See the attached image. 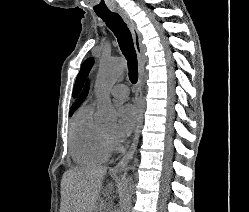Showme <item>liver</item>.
Masks as SVG:
<instances>
[{
    "instance_id": "1",
    "label": "liver",
    "mask_w": 249,
    "mask_h": 212,
    "mask_svg": "<svg viewBox=\"0 0 249 212\" xmlns=\"http://www.w3.org/2000/svg\"><path fill=\"white\" fill-rule=\"evenodd\" d=\"M105 166H86L65 172L67 212H93L102 190Z\"/></svg>"
}]
</instances>
